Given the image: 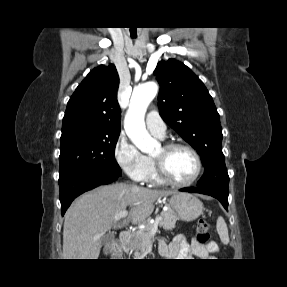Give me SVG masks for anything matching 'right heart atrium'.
<instances>
[{
	"label": "right heart atrium",
	"mask_w": 287,
	"mask_h": 287,
	"mask_svg": "<svg viewBox=\"0 0 287 287\" xmlns=\"http://www.w3.org/2000/svg\"><path fill=\"white\" fill-rule=\"evenodd\" d=\"M114 156L120 168L134 181L142 182L147 171V158L129 140L120 134L114 147Z\"/></svg>",
	"instance_id": "d8ad5b80"
}]
</instances>
